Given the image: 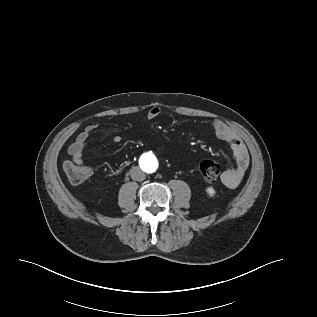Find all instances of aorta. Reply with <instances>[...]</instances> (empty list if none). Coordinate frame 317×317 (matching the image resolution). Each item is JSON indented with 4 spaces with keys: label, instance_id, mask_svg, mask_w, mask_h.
Here are the masks:
<instances>
[{
    "label": "aorta",
    "instance_id": "1",
    "mask_svg": "<svg viewBox=\"0 0 317 317\" xmlns=\"http://www.w3.org/2000/svg\"><path fill=\"white\" fill-rule=\"evenodd\" d=\"M141 163L149 173H153L156 170L157 163L154 155L150 154L148 157H142Z\"/></svg>",
    "mask_w": 317,
    "mask_h": 317
}]
</instances>
